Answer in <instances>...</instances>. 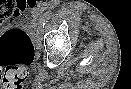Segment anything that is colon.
Segmentation results:
<instances>
[{
	"label": "colon",
	"instance_id": "obj_1",
	"mask_svg": "<svg viewBox=\"0 0 131 89\" xmlns=\"http://www.w3.org/2000/svg\"><path fill=\"white\" fill-rule=\"evenodd\" d=\"M33 7L15 0H0V24ZM34 58V46L26 32L20 29L6 31L0 36V81L4 87L18 89L28 75V65Z\"/></svg>",
	"mask_w": 131,
	"mask_h": 89
}]
</instances>
